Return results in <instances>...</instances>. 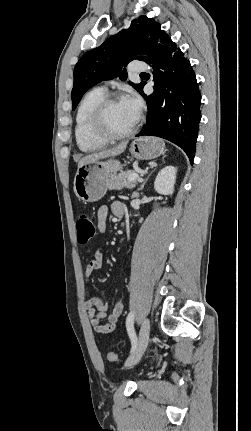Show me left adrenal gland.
<instances>
[{
  "instance_id": "1",
  "label": "left adrenal gland",
  "mask_w": 251,
  "mask_h": 431,
  "mask_svg": "<svg viewBox=\"0 0 251 431\" xmlns=\"http://www.w3.org/2000/svg\"><path fill=\"white\" fill-rule=\"evenodd\" d=\"M151 174H152V172H150L149 175L146 177V179L144 180V182L141 184L140 188L138 189V192L141 191V190H143V188H144L145 184L147 183V181H148L149 177L151 176ZM138 192H135V194L138 195L139 194Z\"/></svg>"
}]
</instances>
